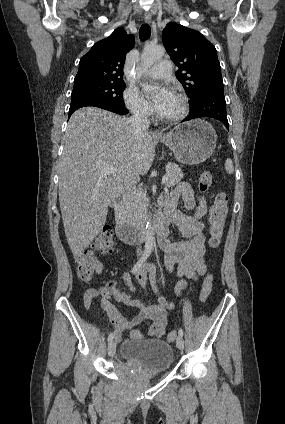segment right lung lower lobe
<instances>
[{
  "label": "right lung lower lobe",
  "instance_id": "1",
  "mask_svg": "<svg viewBox=\"0 0 285 424\" xmlns=\"http://www.w3.org/2000/svg\"><path fill=\"white\" fill-rule=\"evenodd\" d=\"M86 106L99 107V108L117 113L119 115H124L128 113V110L125 108V106H119V105L112 104L110 102L98 100V99L82 98V99L71 100L69 116H71L72 113L76 111L77 109L81 107H86Z\"/></svg>",
  "mask_w": 285,
  "mask_h": 424
}]
</instances>
